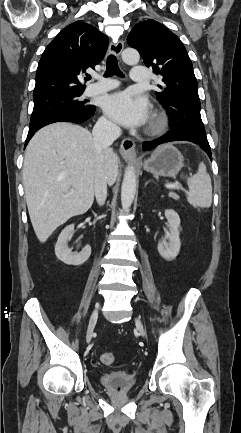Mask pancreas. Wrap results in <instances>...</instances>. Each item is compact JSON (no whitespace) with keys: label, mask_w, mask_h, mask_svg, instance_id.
Here are the masks:
<instances>
[{"label":"pancreas","mask_w":241,"mask_h":433,"mask_svg":"<svg viewBox=\"0 0 241 433\" xmlns=\"http://www.w3.org/2000/svg\"><path fill=\"white\" fill-rule=\"evenodd\" d=\"M169 197H171V198H173V199H175V200H178V199H179V196H178L176 193H174V192H170V193H169Z\"/></svg>","instance_id":"obj_1"}]
</instances>
